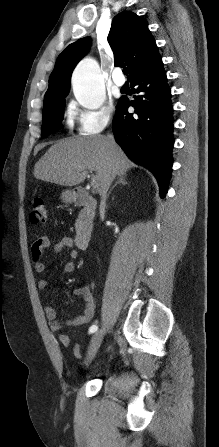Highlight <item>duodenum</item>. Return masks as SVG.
Here are the masks:
<instances>
[{
    "mask_svg": "<svg viewBox=\"0 0 219 447\" xmlns=\"http://www.w3.org/2000/svg\"><path fill=\"white\" fill-rule=\"evenodd\" d=\"M74 202L84 209L82 222L75 234V243L79 249H87L91 242L92 232L90 221L96 211L95 199L86 191L78 190L74 195Z\"/></svg>",
    "mask_w": 219,
    "mask_h": 447,
    "instance_id": "410a0bca",
    "label": "duodenum"
}]
</instances>
